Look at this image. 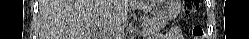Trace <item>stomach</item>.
<instances>
[{
    "label": "stomach",
    "instance_id": "obj_1",
    "mask_svg": "<svg viewBox=\"0 0 249 39\" xmlns=\"http://www.w3.org/2000/svg\"><path fill=\"white\" fill-rule=\"evenodd\" d=\"M180 4L181 0H147L144 7L153 17L169 21L179 14Z\"/></svg>",
    "mask_w": 249,
    "mask_h": 39
}]
</instances>
